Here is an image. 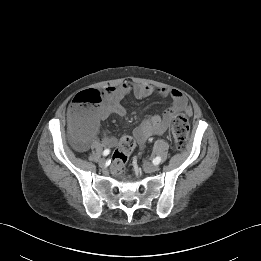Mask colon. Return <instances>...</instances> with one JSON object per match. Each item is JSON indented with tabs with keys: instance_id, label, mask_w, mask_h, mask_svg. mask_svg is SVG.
I'll list each match as a JSON object with an SVG mask.
<instances>
[{
	"instance_id": "5ec220e1",
	"label": "colon",
	"mask_w": 261,
	"mask_h": 261,
	"mask_svg": "<svg viewBox=\"0 0 261 261\" xmlns=\"http://www.w3.org/2000/svg\"><path fill=\"white\" fill-rule=\"evenodd\" d=\"M95 97L101 98L103 94L86 92L77 96L70 105L71 124L76 132L87 129L92 121ZM173 141L177 149H185L188 145L189 124L185 116L179 115L171 125ZM135 147V140L132 137L124 136L120 140L118 149L113 155V163L116 170L122 169L128 159V155Z\"/></svg>"
}]
</instances>
